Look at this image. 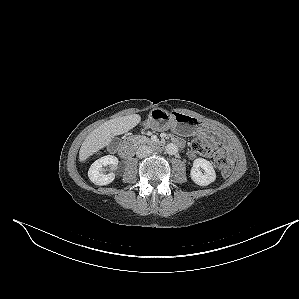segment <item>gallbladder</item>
<instances>
[{
	"mask_svg": "<svg viewBox=\"0 0 299 299\" xmlns=\"http://www.w3.org/2000/svg\"><path fill=\"white\" fill-rule=\"evenodd\" d=\"M113 143H118L119 142V139L117 137H113L112 140H111Z\"/></svg>",
	"mask_w": 299,
	"mask_h": 299,
	"instance_id": "bac80fb5",
	"label": "gallbladder"
}]
</instances>
